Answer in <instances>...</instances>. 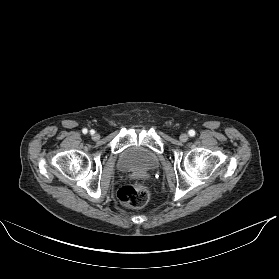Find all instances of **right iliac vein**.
<instances>
[{
    "instance_id": "1",
    "label": "right iliac vein",
    "mask_w": 279,
    "mask_h": 279,
    "mask_svg": "<svg viewBox=\"0 0 279 279\" xmlns=\"http://www.w3.org/2000/svg\"><path fill=\"white\" fill-rule=\"evenodd\" d=\"M92 137L94 140H98L100 136H99V134L95 133V134H93Z\"/></svg>"
}]
</instances>
